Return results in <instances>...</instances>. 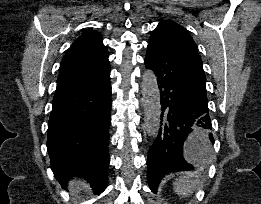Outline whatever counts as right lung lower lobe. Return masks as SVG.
<instances>
[{
	"instance_id": "obj_1",
	"label": "right lung lower lobe",
	"mask_w": 261,
	"mask_h": 204,
	"mask_svg": "<svg viewBox=\"0 0 261 204\" xmlns=\"http://www.w3.org/2000/svg\"><path fill=\"white\" fill-rule=\"evenodd\" d=\"M111 86L109 61L57 79L48 122L51 168L66 187L86 178L96 193L107 186Z\"/></svg>"
}]
</instances>
